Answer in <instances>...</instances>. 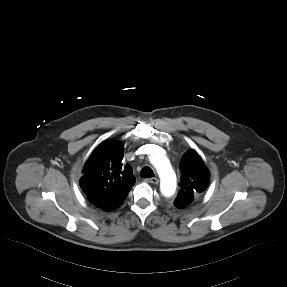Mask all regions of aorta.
I'll list each match as a JSON object with an SVG mask.
<instances>
[{
	"label": "aorta",
	"instance_id": "obj_1",
	"mask_svg": "<svg viewBox=\"0 0 287 287\" xmlns=\"http://www.w3.org/2000/svg\"><path fill=\"white\" fill-rule=\"evenodd\" d=\"M150 161L160 177L161 193L166 197L171 196L176 190V175L168 159L162 153L156 152L150 157Z\"/></svg>",
	"mask_w": 287,
	"mask_h": 287
}]
</instances>
